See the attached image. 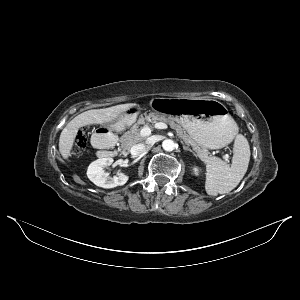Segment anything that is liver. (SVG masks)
Wrapping results in <instances>:
<instances>
[{
  "label": "liver",
  "instance_id": "1",
  "mask_svg": "<svg viewBox=\"0 0 300 300\" xmlns=\"http://www.w3.org/2000/svg\"><path fill=\"white\" fill-rule=\"evenodd\" d=\"M134 105L135 104H121L105 109H93L76 116L66 125L60 134L59 152L62 157L68 159L71 155L77 132L81 127L112 122L116 120L122 112Z\"/></svg>",
  "mask_w": 300,
  "mask_h": 300
}]
</instances>
